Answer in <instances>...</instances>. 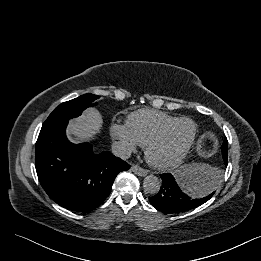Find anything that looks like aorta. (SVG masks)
Segmentation results:
<instances>
[{
  "mask_svg": "<svg viewBox=\"0 0 261 261\" xmlns=\"http://www.w3.org/2000/svg\"><path fill=\"white\" fill-rule=\"evenodd\" d=\"M161 187V182L158 177L154 175H149L145 177L143 181V188L149 194H156L159 192Z\"/></svg>",
  "mask_w": 261,
  "mask_h": 261,
  "instance_id": "762f6f07",
  "label": "aorta"
}]
</instances>
